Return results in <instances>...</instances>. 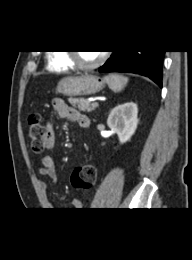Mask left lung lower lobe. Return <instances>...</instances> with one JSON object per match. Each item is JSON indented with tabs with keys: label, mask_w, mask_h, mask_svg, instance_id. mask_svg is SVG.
Returning a JSON list of instances; mask_svg holds the SVG:
<instances>
[{
	"label": "left lung lower lobe",
	"mask_w": 192,
	"mask_h": 260,
	"mask_svg": "<svg viewBox=\"0 0 192 260\" xmlns=\"http://www.w3.org/2000/svg\"><path fill=\"white\" fill-rule=\"evenodd\" d=\"M165 51H116L99 72H129L149 77L162 87V62Z\"/></svg>",
	"instance_id": "left-lung-lower-lobe-1"
}]
</instances>
